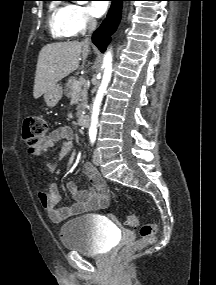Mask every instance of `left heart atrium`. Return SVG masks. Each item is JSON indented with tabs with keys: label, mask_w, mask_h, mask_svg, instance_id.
<instances>
[{
	"label": "left heart atrium",
	"mask_w": 216,
	"mask_h": 285,
	"mask_svg": "<svg viewBox=\"0 0 216 285\" xmlns=\"http://www.w3.org/2000/svg\"><path fill=\"white\" fill-rule=\"evenodd\" d=\"M108 8L107 1H94L91 5L92 14L96 17L102 16Z\"/></svg>",
	"instance_id": "obj_1"
}]
</instances>
